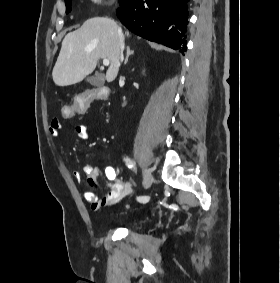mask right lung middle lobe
Segmentation results:
<instances>
[{
  "mask_svg": "<svg viewBox=\"0 0 280 283\" xmlns=\"http://www.w3.org/2000/svg\"><path fill=\"white\" fill-rule=\"evenodd\" d=\"M126 0H119V4L122 5ZM66 3V13L71 11V0H65Z\"/></svg>",
  "mask_w": 280,
  "mask_h": 283,
  "instance_id": "obj_1",
  "label": "right lung middle lobe"
}]
</instances>
